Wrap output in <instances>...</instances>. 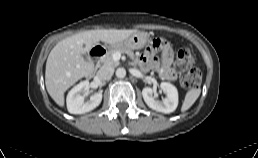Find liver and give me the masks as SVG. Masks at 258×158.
Wrapping results in <instances>:
<instances>
[{"mask_svg":"<svg viewBox=\"0 0 258 158\" xmlns=\"http://www.w3.org/2000/svg\"><path fill=\"white\" fill-rule=\"evenodd\" d=\"M137 30H90L59 41L49 53L46 62L45 84L52 99L64 106V93L78 80L92 74L94 65L83 55L99 41L116 44Z\"/></svg>","mask_w":258,"mask_h":158,"instance_id":"6515ba94","label":"liver"}]
</instances>
